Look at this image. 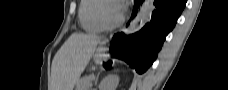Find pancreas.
<instances>
[{
  "label": "pancreas",
  "instance_id": "pancreas-1",
  "mask_svg": "<svg viewBox=\"0 0 228 90\" xmlns=\"http://www.w3.org/2000/svg\"><path fill=\"white\" fill-rule=\"evenodd\" d=\"M93 79H94V77L92 75L82 78L77 83L76 90H89V88L92 85V80Z\"/></svg>",
  "mask_w": 228,
  "mask_h": 90
}]
</instances>
